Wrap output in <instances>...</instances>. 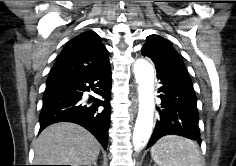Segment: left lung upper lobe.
Listing matches in <instances>:
<instances>
[{
  "instance_id": "obj_1",
  "label": "left lung upper lobe",
  "mask_w": 236,
  "mask_h": 166,
  "mask_svg": "<svg viewBox=\"0 0 236 166\" xmlns=\"http://www.w3.org/2000/svg\"><path fill=\"white\" fill-rule=\"evenodd\" d=\"M141 51L143 55L152 59L156 69L183 64L180 55L171 43L159 35H150Z\"/></svg>"
}]
</instances>
